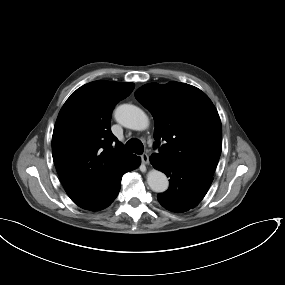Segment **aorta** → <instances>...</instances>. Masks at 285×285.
Masks as SVG:
<instances>
[{"label":"aorta","mask_w":285,"mask_h":285,"mask_svg":"<svg viewBox=\"0 0 285 285\" xmlns=\"http://www.w3.org/2000/svg\"><path fill=\"white\" fill-rule=\"evenodd\" d=\"M115 119L122 126L132 130H145L149 126V119L145 112L137 106L122 104L115 110ZM149 187L157 193L165 192L168 189L169 181L166 175L156 169L147 174Z\"/></svg>","instance_id":"aorta-1"}]
</instances>
